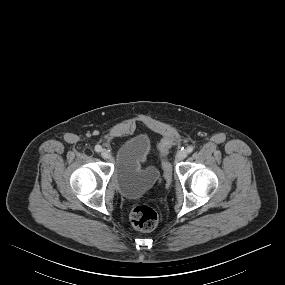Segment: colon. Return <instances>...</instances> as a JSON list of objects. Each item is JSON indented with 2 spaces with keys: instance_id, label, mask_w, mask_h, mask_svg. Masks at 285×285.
Segmentation results:
<instances>
[{
  "instance_id": "5ec220e1",
  "label": "colon",
  "mask_w": 285,
  "mask_h": 285,
  "mask_svg": "<svg viewBox=\"0 0 285 285\" xmlns=\"http://www.w3.org/2000/svg\"><path fill=\"white\" fill-rule=\"evenodd\" d=\"M171 145L172 141L165 139L158 147L159 153L163 156L162 169L167 184H170L172 179V167L165 158V154ZM130 222L138 231H150L157 226L158 215L152 207L148 205H138L130 213Z\"/></svg>"
}]
</instances>
